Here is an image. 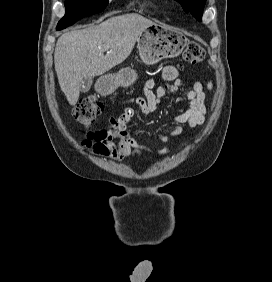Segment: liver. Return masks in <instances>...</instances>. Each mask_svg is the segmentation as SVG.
Wrapping results in <instances>:
<instances>
[{"label":"liver","instance_id":"liver-1","mask_svg":"<svg viewBox=\"0 0 272 282\" xmlns=\"http://www.w3.org/2000/svg\"><path fill=\"white\" fill-rule=\"evenodd\" d=\"M153 24L136 14L110 17L99 25L64 33L54 52L59 85L74 106L84 80L102 75L122 63L132 52L140 34ZM109 45L104 55L103 47Z\"/></svg>","mask_w":272,"mask_h":282}]
</instances>
